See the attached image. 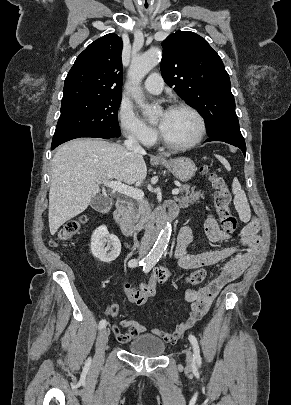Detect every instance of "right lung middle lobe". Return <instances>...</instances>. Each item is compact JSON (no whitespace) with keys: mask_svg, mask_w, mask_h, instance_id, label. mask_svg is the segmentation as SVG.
I'll return each mask as SVG.
<instances>
[{"mask_svg":"<svg viewBox=\"0 0 291 405\" xmlns=\"http://www.w3.org/2000/svg\"><path fill=\"white\" fill-rule=\"evenodd\" d=\"M121 96L62 102L52 146L89 136L119 137L118 108Z\"/></svg>","mask_w":291,"mask_h":405,"instance_id":"dd1d6c3e","label":"right lung middle lobe"}]
</instances>
